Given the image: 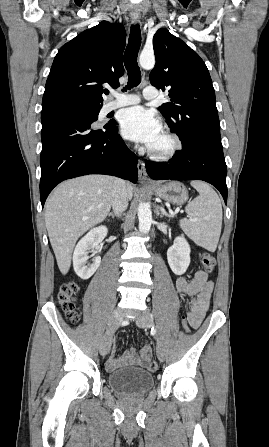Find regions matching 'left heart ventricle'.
Instances as JSON below:
<instances>
[{"mask_svg": "<svg viewBox=\"0 0 269 447\" xmlns=\"http://www.w3.org/2000/svg\"><path fill=\"white\" fill-rule=\"evenodd\" d=\"M147 147L153 153H164L172 147V140L167 133L162 130Z\"/></svg>", "mask_w": 269, "mask_h": 447, "instance_id": "b2bd125f", "label": "left heart ventricle"}]
</instances>
